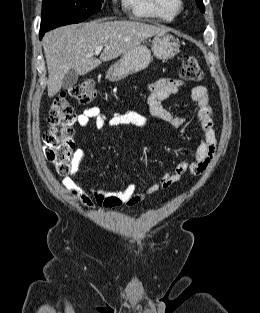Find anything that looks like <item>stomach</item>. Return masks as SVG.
I'll return each instance as SVG.
<instances>
[{"label":"stomach","mask_w":260,"mask_h":313,"mask_svg":"<svg viewBox=\"0 0 260 313\" xmlns=\"http://www.w3.org/2000/svg\"><path fill=\"white\" fill-rule=\"evenodd\" d=\"M179 47L180 44L173 35L157 34L152 40L151 50L142 44L132 47L109 67L106 78L110 81L124 79L149 65L152 60L151 51L159 59H171L179 53Z\"/></svg>","instance_id":"1"}]
</instances>
